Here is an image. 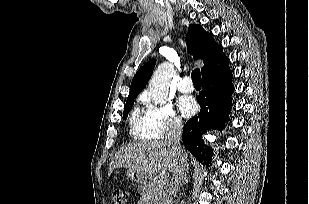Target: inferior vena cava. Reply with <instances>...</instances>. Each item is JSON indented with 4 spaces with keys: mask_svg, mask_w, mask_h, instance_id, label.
<instances>
[{
    "mask_svg": "<svg viewBox=\"0 0 309 204\" xmlns=\"http://www.w3.org/2000/svg\"><path fill=\"white\" fill-rule=\"evenodd\" d=\"M181 133V121H174L170 132L166 138V141L176 154L177 161L175 169L173 170L172 179L166 187V192L164 194L162 204H173V199L176 197L178 190L183 185V183L187 181L188 162L187 154L185 153V150L180 144Z\"/></svg>",
    "mask_w": 309,
    "mask_h": 204,
    "instance_id": "inferior-vena-cava-1",
    "label": "inferior vena cava"
}]
</instances>
